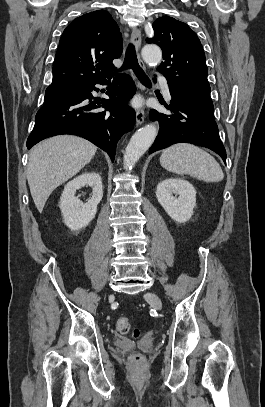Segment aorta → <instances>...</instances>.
I'll return each mask as SVG.
<instances>
[{"label":"aorta","instance_id":"1","mask_svg":"<svg viewBox=\"0 0 265 407\" xmlns=\"http://www.w3.org/2000/svg\"><path fill=\"white\" fill-rule=\"evenodd\" d=\"M142 57L146 63L157 64L162 59V52L157 46L146 45L142 49ZM157 135V127L154 124H148L139 129L131 137L124 153V168L132 169L140 157L152 145Z\"/></svg>","mask_w":265,"mask_h":407}]
</instances>
